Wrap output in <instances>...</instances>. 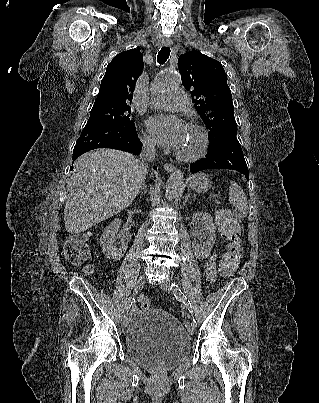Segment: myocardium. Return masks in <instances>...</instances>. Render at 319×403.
<instances>
[{
	"label": "myocardium",
	"instance_id": "f54148a6",
	"mask_svg": "<svg viewBox=\"0 0 319 403\" xmlns=\"http://www.w3.org/2000/svg\"><path fill=\"white\" fill-rule=\"evenodd\" d=\"M188 129L194 131L199 138V146L197 150L191 154H184L179 151L176 152L178 159L186 162H194L203 158L209 147V138L206 130L197 123H189Z\"/></svg>",
	"mask_w": 319,
	"mask_h": 403
}]
</instances>
